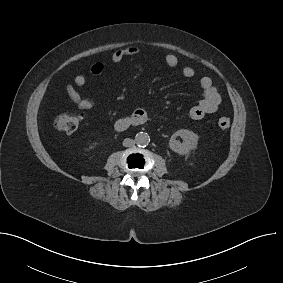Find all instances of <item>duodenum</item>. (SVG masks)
I'll use <instances>...</instances> for the list:
<instances>
[{
    "mask_svg": "<svg viewBox=\"0 0 283 283\" xmlns=\"http://www.w3.org/2000/svg\"><path fill=\"white\" fill-rule=\"evenodd\" d=\"M139 124H142L140 120L134 117H126L119 119L115 122V129L117 131H124L132 125H139Z\"/></svg>",
    "mask_w": 283,
    "mask_h": 283,
    "instance_id": "duodenum-1",
    "label": "duodenum"
}]
</instances>
